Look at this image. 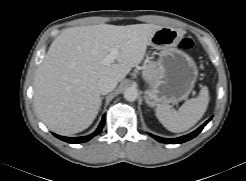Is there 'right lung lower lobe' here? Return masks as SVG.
I'll use <instances>...</instances> for the list:
<instances>
[{"label":"right lung lower lobe","instance_id":"obj_1","mask_svg":"<svg viewBox=\"0 0 246 181\" xmlns=\"http://www.w3.org/2000/svg\"><path fill=\"white\" fill-rule=\"evenodd\" d=\"M105 123V116L102 118V121L100 122V125L98 126L97 130L87 136L84 137H76V138H70V137H63V136H59L57 134H54V136H56L58 139L63 140L65 142L68 143H82V142H86L88 140H90L91 138H93L94 136H96L97 134H99L104 126Z\"/></svg>","mask_w":246,"mask_h":181}]
</instances>
